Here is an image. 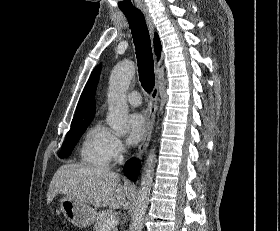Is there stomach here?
Here are the masks:
<instances>
[{
    "label": "stomach",
    "mask_w": 280,
    "mask_h": 231,
    "mask_svg": "<svg viewBox=\"0 0 280 231\" xmlns=\"http://www.w3.org/2000/svg\"><path fill=\"white\" fill-rule=\"evenodd\" d=\"M60 209L68 221L77 227H89L96 217L93 207H90L85 201H80L77 197H70V195H65L60 199Z\"/></svg>",
    "instance_id": "obj_1"
}]
</instances>
